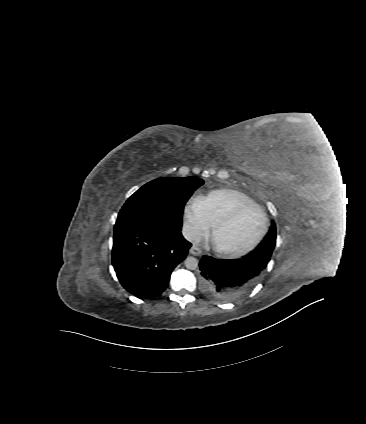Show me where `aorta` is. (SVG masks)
I'll return each mask as SVG.
<instances>
[{
    "label": "aorta",
    "mask_w": 366,
    "mask_h": 424,
    "mask_svg": "<svg viewBox=\"0 0 366 424\" xmlns=\"http://www.w3.org/2000/svg\"><path fill=\"white\" fill-rule=\"evenodd\" d=\"M184 265L189 270H195L198 268V259L188 256L184 261Z\"/></svg>",
    "instance_id": "1"
}]
</instances>
